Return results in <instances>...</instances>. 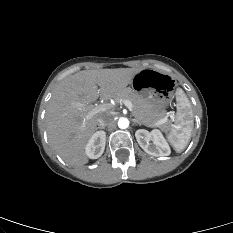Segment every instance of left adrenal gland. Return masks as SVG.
Masks as SVG:
<instances>
[{"label": "left adrenal gland", "mask_w": 233, "mask_h": 233, "mask_svg": "<svg viewBox=\"0 0 233 233\" xmlns=\"http://www.w3.org/2000/svg\"><path fill=\"white\" fill-rule=\"evenodd\" d=\"M133 122L134 123H137V124H139V125H142V123L141 122H139L138 120H136V119H133Z\"/></svg>", "instance_id": "1"}]
</instances>
